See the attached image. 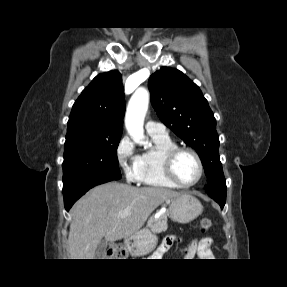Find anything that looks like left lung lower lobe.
Listing matches in <instances>:
<instances>
[{
	"mask_svg": "<svg viewBox=\"0 0 287 287\" xmlns=\"http://www.w3.org/2000/svg\"><path fill=\"white\" fill-rule=\"evenodd\" d=\"M211 198L214 199L221 206V208L224 207L226 199H219V198H214V197H211Z\"/></svg>",
	"mask_w": 287,
	"mask_h": 287,
	"instance_id": "obj_1",
	"label": "left lung lower lobe"
}]
</instances>
